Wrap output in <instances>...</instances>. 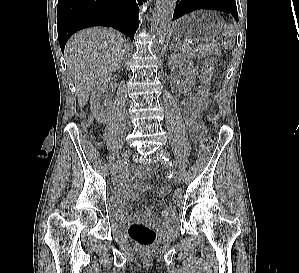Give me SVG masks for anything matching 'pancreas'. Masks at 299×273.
Instances as JSON below:
<instances>
[{"label":"pancreas","instance_id":"cf45deb5","mask_svg":"<svg viewBox=\"0 0 299 273\" xmlns=\"http://www.w3.org/2000/svg\"><path fill=\"white\" fill-rule=\"evenodd\" d=\"M179 49L190 58L201 56L200 53H198L196 49L188 43L179 44Z\"/></svg>","mask_w":299,"mask_h":273}]
</instances>
